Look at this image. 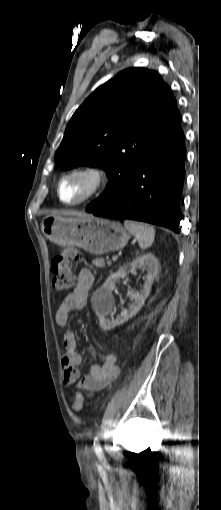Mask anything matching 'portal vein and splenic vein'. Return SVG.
Masks as SVG:
<instances>
[{"label":"portal vein and splenic vein","mask_w":221,"mask_h":510,"mask_svg":"<svg viewBox=\"0 0 221 510\" xmlns=\"http://www.w3.org/2000/svg\"><path fill=\"white\" fill-rule=\"evenodd\" d=\"M117 258H118L117 256H113V257H112V260H113V261H116V260H117ZM108 263H110V261H109Z\"/></svg>","instance_id":"obj_1"}]
</instances>
